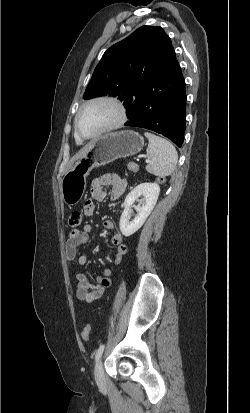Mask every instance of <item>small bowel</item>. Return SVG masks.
<instances>
[{
  "instance_id": "1",
  "label": "small bowel",
  "mask_w": 250,
  "mask_h": 413,
  "mask_svg": "<svg viewBox=\"0 0 250 413\" xmlns=\"http://www.w3.org/2000/svg\"><path fill=\"white\" fill-rule=\"evenodd\" d=\"M127 186L128 182L125 178L113 173H108L94 179L91 184V198L86 201L83 207L84 214L87 216L93 214V200L103 201L107 196L106 189L108 187H111V200L116 201L125 193ZM103 226L107 230H112L114 228V222L106 219L103 222ZM92 231L93 226L91 224H85L82 231L80 229L72 230L65 246V255L68 261H77L80 266H84L87 263V256L84 254L79 255L78 249L88 242L89 235ZM111 243L116 248L114 263L119 265L127 253V246L124 244L123 236L120 233L113 234ZM76 279V297L86 303H93L99 300L112 284L111 270L109 268H106L103 273L96 278L95 284H91L87 275L82 271L76 273Z\"/></svg>"
}]
</instances>
